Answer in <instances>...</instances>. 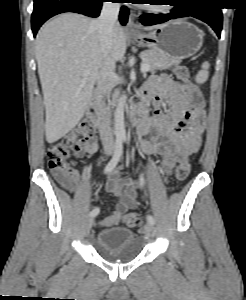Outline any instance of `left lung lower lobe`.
Returning a JSON list of instances; mask_svg holds the SVG:
<instances>
[{
  "mask_svg": "<svg viewBox=\"0 0 246 300\" xmlns=\"http://www.w3.org/2000/svg\"><path fill=\"white\" fill-rule=\"evenodd\" d=\"M187 16L206 22L220 38L223 17L218 0H181L180 4L174 5L169 14H145L141 16L140 22L143 25H154Z\"/></svg>",
  "mask_w": 246,
  "mask_h": 300,
  "instance_id": "1",
  "label": "left lung lower lobe"
}]
</instances>
